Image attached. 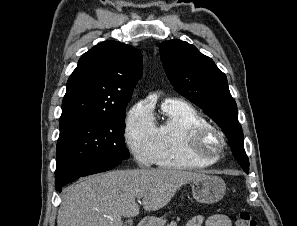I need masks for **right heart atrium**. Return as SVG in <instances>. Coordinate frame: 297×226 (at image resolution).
<instances>
[{"label":"right heart atrium","mask_w":297,"mask_h":226,"mask_svg":"<svg viewBox=\"0 0 297 226\" xmlns=\"http://www.w3.org/2000/svg\"><path fill=\"white\" fill-rule=\"evenodd\" d=\"M125 143L139 165L155 162L156 127L150 108L144 102L131 107L125 119Z\"/></svg>","instance_id":"right-heart-atrium-1"}]
</instances>
